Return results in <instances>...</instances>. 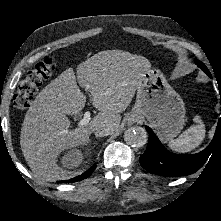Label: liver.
Returning a JSON list of instances; mask_svg holds the SVG:
<instances>
[{"instance_id":"liver-1","label":"liver","mask_w":221,"mask_h":221,"mask_svg":"<svg viewBox=\"0 0 221 221\" xmlns=\"http://www.w3.org/2000/svg\"><path fill=\"white\" fill-rule=\"evenodd\" d=\"M149 69L147 58L121 50L101 51L79 64L77 78L99 113L73 130L67 115L82 111L86 96L72 68L51 81L32 102L21 128V150L33 175L45 181L66 179L69 172L57 164L60 153L89 143L97 127H111L114 133L120 113L130 105L139 79Z\"/></svg>"}]
</instances>
